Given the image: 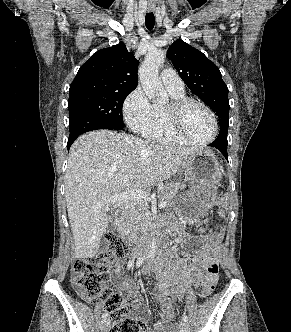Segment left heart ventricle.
I'll return each mask as SVG.
<instances>
[{
    "mask_svg": "<svg viewBox=\"0 0 291 332\" xmlns=\"http://www.w3.org/2000/svg\"><path fill=\"white\" fill-rule=\"evenodd\" d=\"M185 131L196 140H206L213 134V123L209 114L199 106H191L184 114Z\"/></svg>",
    "mask_w": 291,
    "mask_h": 332,
    "instance_id": "1",
    "label": "left heart ventricle"
}]
</instances>
